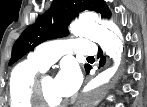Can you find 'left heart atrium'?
<instances>
[{"mask_svg": "<svg viewBox=\"0 0 147 107\" xmlns=\"http://www.w3.org/2000/svg\"><path fill=\"white\" fill-rule=\"evenodd\" d=\"M82 76L73 65H65L55 78L57 92L64 98L72 96L80 87Z\"/></svg>", "mask_w": 147, "mask_h": 107, "instance_id": "39dd6f15", "label": "left heart atrium"}]
</instances>
